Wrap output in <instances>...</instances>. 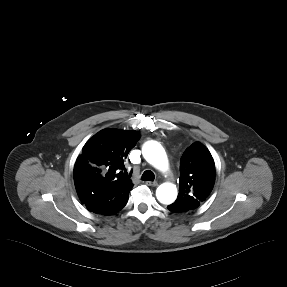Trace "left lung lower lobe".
Masks as SVG:
<instances>
[{
  "label": "left lung lower lobe",
  "mask_w": 287,
  "mask_h": 287,
  "mask_svg": "<svg viewBox=\"0 0 287 287\" xmlns=\"http://www.w3.org/2000/svg\"><path fill=\"white\" fill-rule=\"evenodd\" d=\"M167 208H168L170 211L175 212V213H180V212H181L180 209L177 208L174 204H171V205L167 206Z\"/></svg>",
  "instance_id": "1"
}]
</instances>
